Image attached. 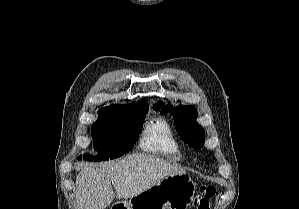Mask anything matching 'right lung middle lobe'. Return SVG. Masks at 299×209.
<instances>
[{"instance_id":"1","label":"right lung middle lobe","mask_w":299,"mask_h":209,"mask_svg":"<svg viewBox=\"0 0 299 209\" xmlns=\"http://www.w3.org/2000/svg\"><path fill=\"white\" fill-rule=\"evenodd\" d=\"M146 113L99 115L98 120L92 126L94 146L98 155L93 158L84 155V158L93 161H106L128 152L142 129Z\"/></svg>"}]
</instances>
